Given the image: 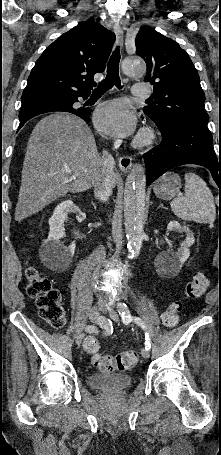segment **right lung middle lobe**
Wrapping results in <instances>:
<instances>
[{
	"label": "right lung middle lobe",
	"instance_id": "1",
	"mask_svg": "<svg viewBox=\"0 0 221 455\" xmlns=\"http://www.w3.org/2000/svg\"><path fill=\"white\" fill-rule=\"evenodd\" d=\"M72 101H73V99H69V100H65V101L57 103V104H62V103L68 104V103H70Z\"/></svg>",
	"mask_w": 221,
	"mask_h": 455
}]
</instances>
